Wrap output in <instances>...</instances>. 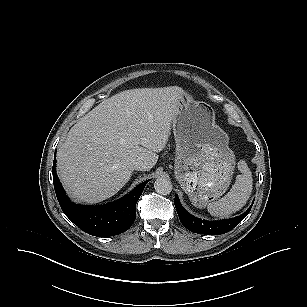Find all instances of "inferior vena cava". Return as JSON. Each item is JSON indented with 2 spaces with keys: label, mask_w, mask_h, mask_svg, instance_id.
Returning a JSON list of instances; mask_svg holds the SVG:
<instances>
[{
  "label": "inferior vena cava",
  "mask_w": 307,
  "mask_h": 307,
  "mask_svg": "<svg viewBox=\"0 0 307 307\" xmlns=\"http://www.w3.org/2000/svg\"><path fill=\"white\" fill-rule=\"evenodd\" d=\"M128 168L131 170H144L145 165L141 161H133L128 164Z\"/></svg>",
  "instance_id": "1"
}]
</instances>
